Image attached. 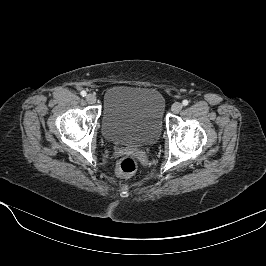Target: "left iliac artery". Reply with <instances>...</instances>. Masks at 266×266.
<instances>
[{
	"label": "left iliac artery",
	"instance_id": "44dca946",
	"mask_svg": "<svg viewBox=\"0 0 266 266\" xmlns=\"http://www.w3.org/2000/svg\"><path fill=\"white\" fill-rule=\"evenodd\" d=\"M188 103H189V101H188V100H183V101H182V104H183L184 106H187V105H188Z\"/></svg>",
	"mask_w": 266,
	"mask_h": 266
}]
</instances>
